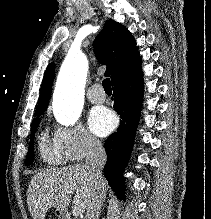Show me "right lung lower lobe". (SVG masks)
Here are the masks:
<instances>
[{
	"instance_id": "obj_1",
	"label": "right lung lower lobe",
	"mask_w": 211,
	"mask_h": 219,
	"mask_svg": "<svg viewBox=\"0 0 211 219\" xmlns=\"http://www.w3.org/2000/svg\"><path fill=\"white\" fill-rule=\"evenodd\" d=\"M114 109L120 115V126L104 144L107 163L105 177L119 199L125 200L123 172L128 165L138 126L143 98V73L140 64L112 81Z\"/></svg>"
}]
</instances>
